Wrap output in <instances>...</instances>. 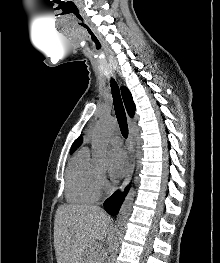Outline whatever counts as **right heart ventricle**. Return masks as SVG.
Listing matches in <instances>:
<instances>
[{
    "label": "right heart ventricle",
    "mask_w": 220,
    "mask_h": 263,
    "mask_svg": "<svg viewBox=\"0 0 220 263\" xmlns=\"http://www.w3.org/2000/svg\"><path fill=\"white\" fill-rule=\"evenodd\" d=\"M65 194L73 204L92 203L99 198L98 172L90 163L86 148L79 150L68 164Z\"/></svg>",
    "instance_id": "obj_1"
}]
</instances>
